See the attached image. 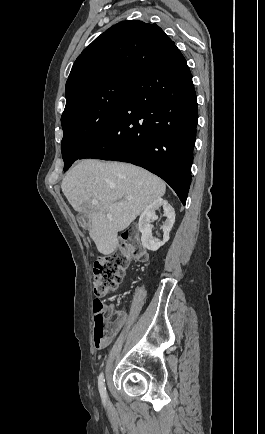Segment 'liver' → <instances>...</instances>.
I'll list each match as a JSON object with an SVG mask.
<instances>
[{"mask_svg": "<svg viewBox=\"0 0 265 434\" xmlns=\"http://www.w3.org/2000/svg\"><path fill=\"white\" fill-rule=\"evenodd\" d=\"M61 188L75 212L88 218L89 236L104 256L116 250L118 232L166 192L164 182L143 168L99 160L78 162L63 178ZM92 200H98L97 206Z\"/></svg>", "mask_w": 265, "mask_h": 434, "instance_id": "1", "label": "liver"}]
</instances>
